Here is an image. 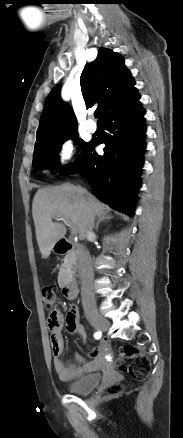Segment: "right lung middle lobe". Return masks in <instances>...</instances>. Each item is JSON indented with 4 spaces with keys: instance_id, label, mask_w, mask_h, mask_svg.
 I'll return each mask as SVG.
<instances>
[{
    "instance_id": "right-lung-middle-lobe-1",
    "label": "right lung middle lobe",
    "mask_w": 183,
    "mask_h": 438,
    "mask_svg": "<svg viewBox=\"0 0 183 438\" xmlns=\"http://www.w3.org/2000/svg\"><path fill=\"white\" fill-rule=\"evenodd\" d=\"M68 138H73L76 143L80 142L82 146H85L87 144L83 140L78 138V133L76 132V129L38 138L35 143V150L33 154L34 169L36 170L40 168H59L60 171L66 169V166H57V158L62 143Z\"/></svg>"
}]
</instances>
